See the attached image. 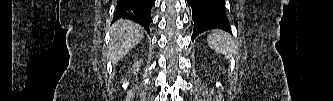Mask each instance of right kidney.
Returning <instances> with one entry per match:
<instances>
[{"instance_id": "ca27d5eb", "label": "right kidney", "mask_w": 333, "mask_h": 101, "mask_svg": "<svg viewBox=\"0 0 333 101\" xmlns=\"http://www.w3.org/2000/svg\"><path fill=\"white\" fill-rule=\"evenodd\" d=\"M140 65H141V61H137V62L133 65V72H134V73L138 72Z\"/></svg>"}]
</instances>
